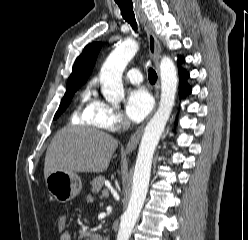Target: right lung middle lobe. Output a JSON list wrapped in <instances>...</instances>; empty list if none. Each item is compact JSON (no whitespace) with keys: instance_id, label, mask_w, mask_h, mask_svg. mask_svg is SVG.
<instances>
[{"instance_id":"right-lung-middle-lobe-1","label":"right lung middle lobe","mask_w":248,"mask_h":240,"mask_svg":"<svg viewBox=\"0 0 248 240\" xmlns=\"http://www.w3.org/2000/svg\"><path fill=\"white\" fill-rule=\"evenodd\" d=\"M83 83L80 81L72 80L67 82L66 93L61 101L58 111L56 112L54 119H57L62 112L65 111L69 105L74 93L80 88Z\"/></svg>"}]
</instances>
